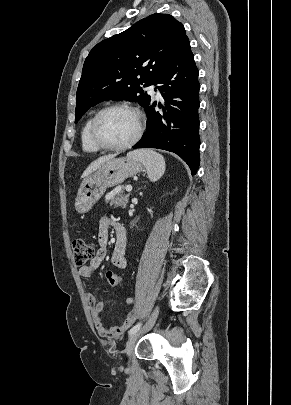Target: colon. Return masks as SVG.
Wrapping results in <instances>:
<instances>
[{"instance_id": "5ec220e1", "label": "colon", "mask_w": 291, "mask_h": 405, "mask_svg": "<svg viewBox=\"0 0 291 405\" xmlns=\"http://www.w3.org/2000/svg\"><path fill=\"white\" fill-rule=\"evenodd\" d=\"M72 247L74 263L80 268L85 266L87 262H89L94 256V249L92 245L83 239H75L72 243ZM106 279L113 287L121 285V276L113 270H108L106 272Z\"/></svg>"}]
</instances>
